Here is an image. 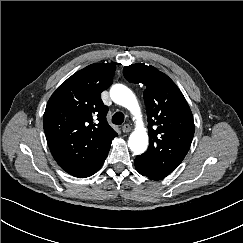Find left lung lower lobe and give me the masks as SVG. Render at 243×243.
<instances>
[{"label": "left lung lower lobe", "instance_id": "0a47b994", "mask_svg": "<svg viewBox=\"0 0 243 243\" xmlns=\"http://www.w3.org/2000/svg\"><path fill=\"white\" fill-rule=\"evenodd\" d=\"M134 163H135L136 170L141 175L146 176L149 179L158 180V179H162L168 175L167 173H164V172H161L154 168L145 166V165L141 164L139 161H137L136 159H135Z\"/></svg>", "mask_w": 243, "mask_h": 243}]
</instances>
